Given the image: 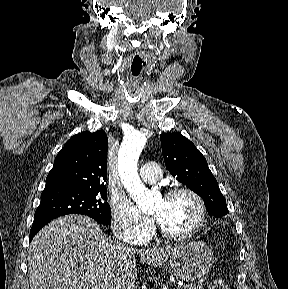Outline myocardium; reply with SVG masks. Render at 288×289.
Segmentation results:
<instances>
[{"label":"myocardium","instance_id":"1","mask_svg":"<svg viewBox=\"0 0 288 289\" xmlns=\"http://www.w3.org/2000/svg\"><path fill=\"white\" fill-rule=\"evenodd\" d=\"M181 195H187L196 202L199 210V218L191 230L182 233L172 232L167 229L164 224L156 220L155 222L160 233L171 240H186L195 237L204 228L207 220V210L204 200L197 192L190 188L181 187L170 189L163 194L162 199L169 200Z\"/></svg>","mask_w":288,"mask_h":289}]
</instances>
